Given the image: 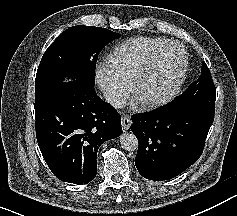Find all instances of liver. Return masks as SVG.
I'll use <instances>...</instances> for the list:
<instances>
[{
    "label": "liver",
    "instance_id": "obj_1",
    "mask_svg": "<svg viewBox=\"0 0 237 216\" xmlns=\"http://www.w3.org/2000/svg\"><path fill=\"white\" fill-rule=\"evenodd\" d=\"M65 82H68V79H65Z\"/></svg>",
    "mask_w": 237,
    "mask_h": 216
}]
</instances>
